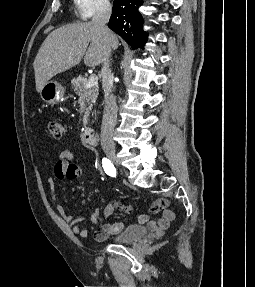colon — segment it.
Segmentation results:
<instances>
[{"label": "colon", "mask_w": 255, "mask_h": 287, "mask_svg": "<svg viewBox=\"0 0 255 287\" xmlns=\"http://www.w3.org/2000/svg\"><path fill=\"white\" fill-rule=\"evenodd\" d=\"M48 130L54 138H60L63 134V125L59 122H50Z\"/></svg>", "instance_id": "5ec220e1"}]
</instances>
